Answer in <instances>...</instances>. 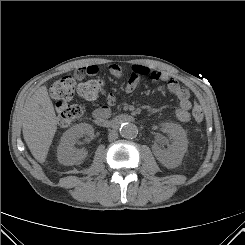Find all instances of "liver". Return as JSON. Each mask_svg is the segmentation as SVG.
<instances>
[{
    "label": "liver",
    "instance_id": "1",
    "mask_svg": "<svg viewBox=\"0 0 245 245\" xmlns=\"http://www.w3.org/2000/svg\"><path fill=\"white\" fill-rule=\"evenodd\" d=\"M57 130V117L46 86L28 100L24 110L23 137L33 155L44 163Z\"/></svg>",
    "mask_w": 245,
    "mask_h": 245
}]
</instances>
